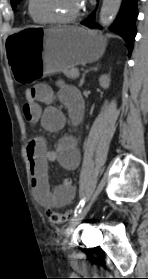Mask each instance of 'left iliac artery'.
I'll list each match as a JSON object with an SVG mask.
<instances>
[{
  "mask_svg": "<svg viewBox=\"0 0 148 279\" xmlns=\"http://www.w3.org/2000/svg\"><path fill=\"white\" fill-rule=\"evenodd\" d=\"M84 205H85V199H82L77 205V207L75 208L74 217H76L82 211Z\"/></svg>",
  "mask_w": 148,
  "mask_h": 279,
  "instance_id": "obj_1",
  "label": "left iliac artery"
}]
</instances>
